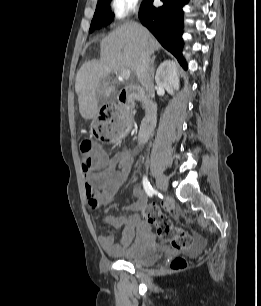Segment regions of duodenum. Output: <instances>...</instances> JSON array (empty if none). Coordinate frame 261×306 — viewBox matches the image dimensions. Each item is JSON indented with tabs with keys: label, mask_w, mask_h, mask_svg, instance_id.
Masks as SVG:
<instances>
[{
	"label": "duodenum",
	"mask_w": 261,
	"mask_h": 306,
	"mask_svg": "<svg viewBox=\"0 0 261 306\" xmlns=\"http://www.w3.org/2000/svg\"><path fill=\"white\" fill-rule=\"evenodd\" d=\"M136 101H142L145 107L139 130V141L144 142L156 126L157 105L146 96L142 89L135 86L125 87L118 95V102L123 107L129 108Z\"/></svg>",
	"instance_id": "410a0bca"
}]
</instances>
